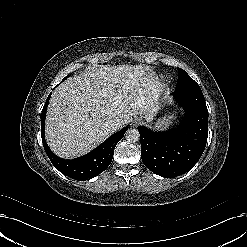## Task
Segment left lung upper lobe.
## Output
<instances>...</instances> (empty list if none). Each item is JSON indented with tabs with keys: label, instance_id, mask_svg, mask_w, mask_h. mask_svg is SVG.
<instances>
[{
	"label": "left lung upper lobe",
	"instance_id": "1",
	"mask_svg": "<svg viewBox=\"0 0 247 247\" xmlns=\"http://www.w3.org/2000/svg\"><path fill=\"white\" fill-rule=\"evenodd\" d=\"M178 82L176 90H184L198 84L181 68H178Z\"/></svg>",
	"mask_w": 247,
	"mask_h": 247
}]
</instances>
